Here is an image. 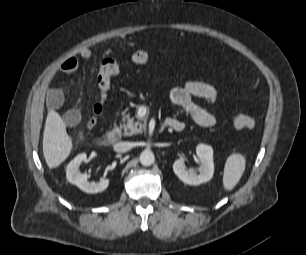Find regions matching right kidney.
Wrapping results in <instances>:
<instances>
[{
    "label": "right kidney",
    "mask_w": 306,
    "mask_h": 255,
    "mask_svg": "<svg viewBox=\"0 0 306 255\" xmlns=\"http://www.w3.org/2000/svg\"><path fill=\"white\" fill-rule=\"evenodd\" d=\"M87 155L85 153L77 155L66 168L67 180L78 186L82 191L86 193H98L105 190L109 185L108 179H101L99 182H89L87 180V174L80 172V165L85 161Z\"/></svg>",
    "instance_id": "right-kidney-1"
}]
</instances>
